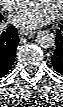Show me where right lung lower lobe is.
I'll return each mask as SVG.
<instances>
[{
	"label": "right lung lower lobe",
	"instance_id": "1",
	"mask_svg": "<svg viewBox=\"0 0 63 107\" xmlns=\"http://www.w3.org/2000/svg\"><path fill=\"white\" fill-rule=\"evenodd\" d=\"M2 15H0V22ZM19 42L15 27L10 26L0 33V78L8 73L15 61L16 48Z\"/></svg>",
	"mask_w": 63,
	"mask_h": 107
}]
</instances>
